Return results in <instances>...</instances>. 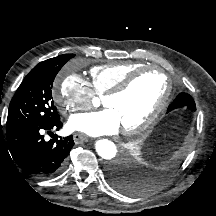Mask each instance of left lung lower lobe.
<instances>
[{
	"label": "left lung lower lobe",
	"instance_id": "left-lung-lower-lobe-1",
	"mask_svg": "<svg viewBox=\"0 0 216 216\" xmlns=\"http://www.w3.org/2000/svg\"><path fill=\"white\" fill-rule=\"evenodd\" d=\"M187 93H180L175 100L169 105L167 112H170L174 109L182 108L185 104V100L187 98ZM108 176L112 185L124 192H130L135 186L130 175H127V172L120 168L118 165H112L108 170Z\"/></svg>",
	"mask_w": 216,
	"mask_h": 216
}]
</instances>
